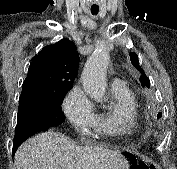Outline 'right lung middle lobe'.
I'll return each mask as SVG.
<instances>
[{"mask_svg": "<svg viewBox=\"0 0 177 169\" xmlns=\"http://www.w3.org/2000/svg\"><path fill=\"white\" fill-rule=\"evenodd\" d=\"M66 92L51 100H40L35 98L19 99V110L17 122L33 119L57 126L64 121L61 104Z\"/></svg>", "mask_w": 177, "mask_h": 169, "instance_id": "dd1d6c3e", "label": "right lung middle lobe"}]
</instances>
